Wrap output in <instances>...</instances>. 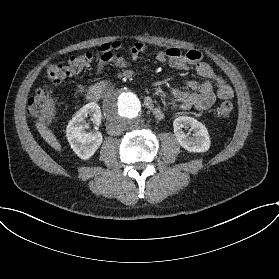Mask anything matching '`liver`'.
<instances>
[{
    "label": "liver",
    "mask_w": 279,
    "mask_h": 279,
    "mask_svg": "<svg viewBox=\"0 0 279 279\" xmlns=\"http://www.w3.org/2000/svg\"><path fill=\"white\" fill-rule=\"evenodd\" d=\"M38 132L40 133L41 137L55 150L61 151V145L57 141L53 132L47 128H45L42 124L37 123Z\"/></svg>",
    "instance_id": "obj_1"
}]
</instances>
